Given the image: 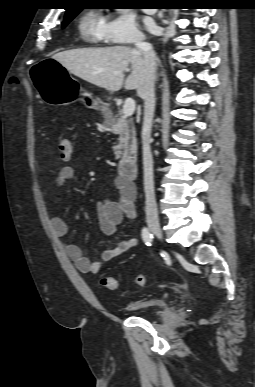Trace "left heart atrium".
Masks as SVG:
<instances>
[{"label": "left heart atrium", "instance_id": "obj_1", "mask_svg": "<svg viewBox=\"0 0 255 387\" xmlns=\"http://www.w3.org/2000/svg\"><path fill=\"white\" fill-rule=\"evenodd\" d=\"M146 25H147V28L150 30V31H154L155 30V24L152 22V21H148L147 23H146Z\"/></svg>", "mask_w": 255, "mask_h": 387}]
</instances>
